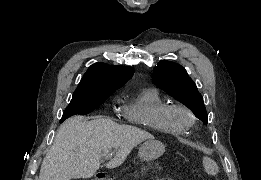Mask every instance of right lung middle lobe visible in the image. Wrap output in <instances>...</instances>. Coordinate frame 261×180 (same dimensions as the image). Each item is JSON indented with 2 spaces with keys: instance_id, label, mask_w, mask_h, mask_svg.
<instances>
[{
  "instance_id": "obj_1",
  "label": "right lung middle lobe",
  "mask_w": 261,
  "mask_h": 180,
  "mask_svg": "<svg viewBox=\"0 0 261 180\" xmlns=\"http://www.w3.org/2000/svg\"><path fill=\"white\" fill-rule=\"evenodd\" d=\"M109 96L110 95H92V94L74 93L70 104L66 107V110L63 113L60 123L70 116L76 114L86 115L92 112L99 105L104 103V101Z\"/></svg>"
}]
</instances>
